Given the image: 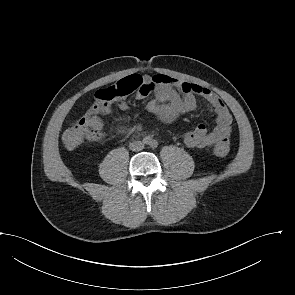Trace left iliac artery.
<instances>
[{
	"instance_id": "1",
	"label": "left iliac artery",
	"mask_w": 295,
	"mask_h": 295,
	"mask_svg": "<svg viewBox=\"0 0 295 295\" xmlns=\"http://www.w3.org/2000/svg\"><path fill=\"white\" fill-rule=\"evenodd\" d=\"M158 142L156 141V140H152L151 142H150V146H151V148H153V149H156L157 147H158Z\"/></svg>"
}]
</instances>
